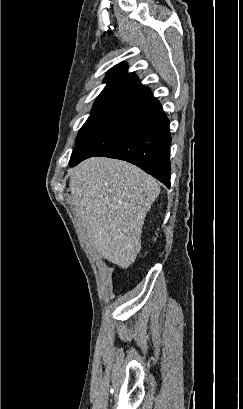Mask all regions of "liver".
Instances as JSON below:
<instances>
[{"instance_id": "obj_1", "label": "liver", "mask_w": 243, "mask_h": 409, "mask_svg": "<svg viewBox=\"0 0 243 409\" xmlns=\"http://www.w3.org/2000/svg\"><path fill=\"white\" fill-rule=\"evenodd\" d=\"M69 175L71 203L91 246L128 268L141 249L142 227L159 183L128 162L104 157L81 162Z\"/></svg>"}]
</instances>
